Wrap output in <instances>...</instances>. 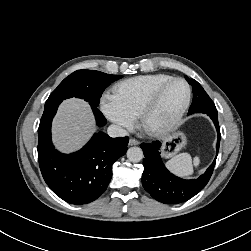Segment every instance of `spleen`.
<instances>
[{"instance_id": "1", "label": "spleen", "mask_w": 251, "mask_h": 251, "mask_svg": "<svg viewBox=\"0 0 251 251\" xmlns=\"http://www.w3.org/2000/svg\"><path fill=\"white\" fill-rule=\"evenodd\" d=\"M200 163L199 157H195L193 160L188 153H180L173 156L166 166L175 174L187 177L193 173V166H198Z\"/></svg>"}]
</instances>
